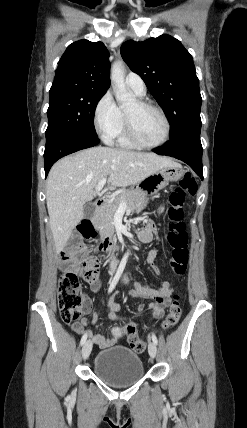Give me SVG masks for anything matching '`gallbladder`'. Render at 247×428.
Here are the masks:
<instances>
[{
	"mask_svg": "<svg viewBox=\"0 0 247 428\" xmlns=\"http://www.w3.org/2000/svg\"><path fill=\"white\" fill-rule=\"evenodd\" d=\"M95 205L92 202H87L84 205V217L91 218L94 215Z\"/></svg>",
	"mask_w": 247,
	"mask_h": 428,
	"instance_id": "bac80fb5",
	"label": "gallbladder"
}]
</instances>
